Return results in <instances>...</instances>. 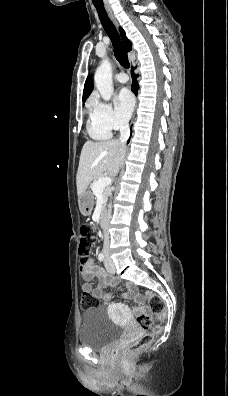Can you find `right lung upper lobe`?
<instances>
[{
	"instance_id": "right-lung-upper-lobe-1",
	"label": "right lung upper lobe",
	"mask_w": 228,
	"mask_h": 396,
	"mask_svg": "<svg viewBox=\"0 0 228 396\" xmlns=\"http://www.w3.org/2000/svg\"><path fill=\"white\" fill-rule=\"evenodd\" d=\"M120 35L122 38V41L125 45V49L127 52L131 51L132 47H131V42L130 40L126 37V34L124 32V30L120 27ZM93 90V82L91 80L90 77L87 78L85 85H84V91H83V101H85L88 96L91 94Z\"/></svg>"
}]
</instances>
